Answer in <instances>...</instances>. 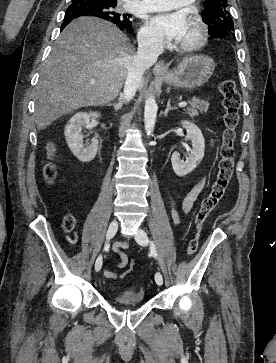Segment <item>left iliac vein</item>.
Here are the masks:
<instances>
[{
  "label": "left iliac vein",
  "mask_w": 276,
  "mask_h": 363,
  "mask_svg": "<svg viewBox=\"0 0 276 363\" xmlns=\"http://www.w3.org/2000/svg\"><path fill=\"white\" fill-rule=\"evenodd\" d=\"M135 239L137 241V243L141 246H147L149 243V239L148 236L146 234V232L143 229H139ZM155 281L158 285H162L163 284V276L160 272H156L155 274Z\"/></svg>",
  "instance_id": "1"
}]
</instances>
